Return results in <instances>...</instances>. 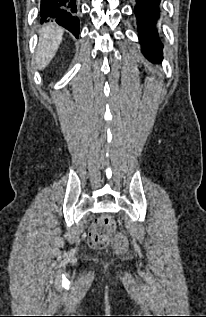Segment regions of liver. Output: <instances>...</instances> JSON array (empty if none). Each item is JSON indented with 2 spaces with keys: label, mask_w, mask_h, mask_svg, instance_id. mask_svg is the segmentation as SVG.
Returning <instances> with one entry per match:
<instances>
[{
  "label": "liver",
  "mask_w": 206,
  "mask_h": 317,
  "mask_svg": "<svg viewBox=\"0 0 206 317\" xmlns=\"http://www.w3.org/2000/svg\"><path fill=\"white\" fill-rule=\"evenodd\" d=\"M64 29L55 23H48L40 32L39 44L36 52V66L44 69L55 56L62 41Z\"/></svg>",
  "instance_id": "liver-1"
}]
</instances>
